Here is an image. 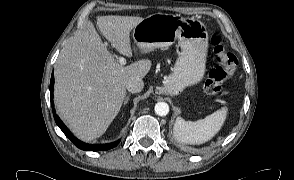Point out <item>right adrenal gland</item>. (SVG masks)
<instances>
[{"label":"right adrenal gland","instance_id":"right-adrenal-gland-1","mask_svg":"<svg viewBox=\"0 0 294 180\" xmlns=\"http://www.w3.org/2000/svg\"><path fill=\"white\" fill-rule=\"evenodd\" d=\"M129 99H130V95H128V96L125 98L124 105H126V104L128 103Z\"/></svg>","mask_w":294,"mask_h":180}]
</instances>
